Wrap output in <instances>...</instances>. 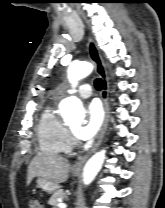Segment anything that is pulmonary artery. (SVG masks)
Returning <instances> with one entry per match:
<instances>
[{
  "mask_svg": "<svg viewBox=\"0 0 165 208\" xmlns=\"http://www.w3.org/2000/svg\"><path fill=\"white\" fill-rule=\"evenodd\" d=\"M78 95L81 98H89L92 95V87L89 84H83L79 87Z\"/></svg>",
  "mask_w": 165,
  "mask_h": 208,
  "instance_id": "e3ab8cb5",
  "label": "pulmonary artery"
}]
</instances>
